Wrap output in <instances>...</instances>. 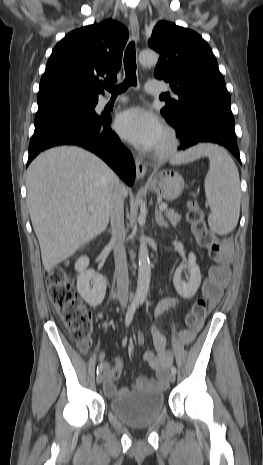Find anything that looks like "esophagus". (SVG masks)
Wrapping results in <instances>:
<instances>
[{"mask_svg":"<svg viewBox=\"0 0 263 465\" xmlns=\"http://www.w3.org/2000/svg\"><path fill=\"white\" fill-rule=\"evenodd\" d=\"M130 28L133 38L137 41L139 39V22L135 14L130 15ZM136 176L138 179H143L146 174V166L138 157L135 158Z\"/></svg>","mask_w":263,"mask_h":465,"instance_id":"34e87169","label":"esophagus"}]
</instances>
